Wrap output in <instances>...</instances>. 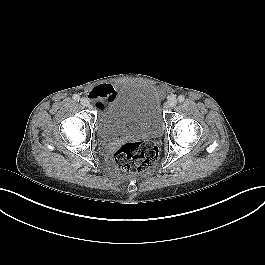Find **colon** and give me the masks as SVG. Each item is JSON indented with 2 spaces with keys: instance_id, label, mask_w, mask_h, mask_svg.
I'll return each mask as SVG.
<instances>
[{
  "instance_id": "5ec220e1",
  "label": "colon",
  "mask_w": 265,
  "mask_h": 265,
  "mask_svg": "<svg viewBox=\"0 0 265 265\" xmlns=\"http://www.w3.org/2000/svg\"><path fill=\"white\" fill-rule=\"evenodd\" d=\"M158 148L148 141L126 142L117 147L114 160L118 169L131 173H145L156 164Z\"/></svg>"
}]
</instances>
